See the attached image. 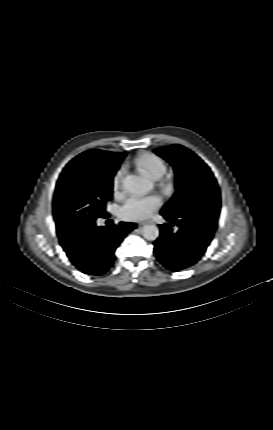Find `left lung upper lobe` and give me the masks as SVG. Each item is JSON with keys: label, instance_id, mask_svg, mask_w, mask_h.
Wrapping results in <instances>:
<instances>
[{"label": "left lung upper lobe", "instance_id": "obj_1", "mask_svg": "<svg viewBox=\"0 0 273 430\" xmlns=\"http://www.w3.org/2000/svg\"><path fill=\"white\" fill-rule=\"evenodd\" d=\"M154 151L170 162L176 173L177 191L164 206L163 212L188 222L193 221L192 215L200 203L217 204L220 212L221 198L217 181L210 168L197 155L178 144Z\"/></svg>", "mask_w": 273, "mask_h": 430}]
</instances>
